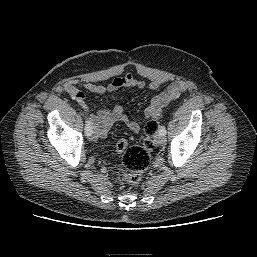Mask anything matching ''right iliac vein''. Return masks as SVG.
Listing matches in <instances>:
<instances>
[{
  "label": "right iliac vein",
  "instance_id": "1",
  "mask_svg": "<svg viewBox=\"0 0 257 257\" xmlns=\"http://www.w3.org/2000/svg\"><path fill=\"white\" fill-rule=\"evenodd\" d=\"M89 139H90L91 141H95V140H97V136H96L94 133H91V134L89 135Z\"/></svg>",
  "mask_w": 257,
  "mask_h": 257
}]
</instances>
